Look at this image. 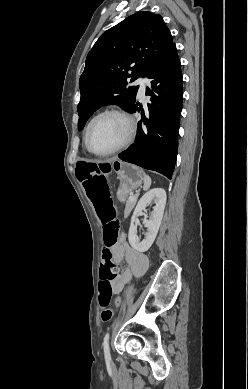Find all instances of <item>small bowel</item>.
<instances>
[{"label": "small bowel", "instance_id": "small-bowel-1", "mask_svg": "<svg viewBox=\"0 0 248 389\" xmlns=\"http://www.w3.org/2000/svg\"><path fill=\"white\" fill-rule=\"evenodd\" d=\"M111 254L115 262L121 263L125 260L129 265L128 268L122 269L112 282L113 293L119 294L133 277H140L146 272L149 262L143 253L129 245L124 236L111 248Z\"/></svg>", "mask_w": 248, "mask_h": 389}]
</instances>
